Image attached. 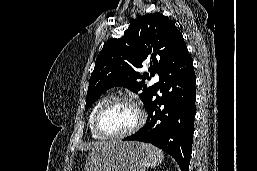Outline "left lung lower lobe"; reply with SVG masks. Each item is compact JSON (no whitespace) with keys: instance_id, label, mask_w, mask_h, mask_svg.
<instances>
[{"instance_id":"left-lung-lower-lobe-1","label":"left lung lower lobe","mask_w":257,"mask_h":171,"mask_svg":"<svg viewBox=\"0 0 257 171\" xmlns=\"http://www.w3.org/2000/svg\"><path fill=\"white\" fill-rule=\"evenodd\" d=\"M159 76L161 83L156 84V90L146 105L148 119L145 126L123 140L151 143L171 155L181 171H189L196 77L186 46L170 55ZM159 88L161 96L157 95Z\"/></svg>"}]
</instances>
